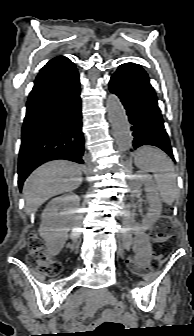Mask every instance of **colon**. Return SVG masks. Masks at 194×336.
<instances>
[{
	"label": "colon",
	"mask_w": 194,
	"mask_h": 336,
	"mask_svg": "<svg viewBox=\"0 0 194 336\" xmlns=\"http://www.w3.org/2000/svg\"><path fill=\"white\" fill-rule=\"evenodd\" d=\"M174 234L175 227L168 214L165 213L152 231V240L160 257L167 255L173 249L175 245ZM27 260L46 276H56L62 270L61 263L49 254L41 241L35 236L29 240ZM129 264L132 267L134 265L132 260L129 261ZM137 271L140 270L137 269ZM114 308L119 316L125 311L123 303H117ZM124 330V326L119 321H108L99 325L91 333V336H119Z\"/></svg>",
	"instance_id": "1"
}]
</instances>
